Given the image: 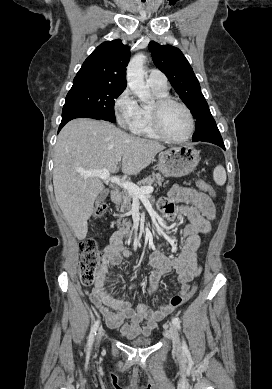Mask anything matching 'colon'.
I'll return each mask as SVG.
<instances>
[{"label":"colon","mask_w":272,"mask_h":389,"mask_svg":"<svg viewBox=\"0 0 272 389\" xmlns=\"http://www.w3.org/2000/svg\"><path fill=\"white\" fill-rule=\"evenodd\" d=\"M199 189L208 194L212 195L213 190L210 184L203 180L199 179L198 182ZM107 211V205L104 202H100L96 205L94 215L96 217H102ZM81 258L79 261V276L80 281L84 286H91L95 282L98 269L102 265L103 256L101 249L96 241L93 239H86L81 243ZM194 290L187 291L184 293L174 295L170 301L169 305L173 309L180 306L186 302L192 295Z\"/></svg>","instance_id":"obj_1"}]
</instances>
